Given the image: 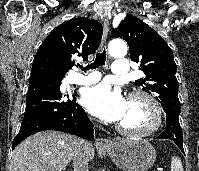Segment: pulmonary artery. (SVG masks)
Here are the masks:
<instances>
[{"mask_svg":"<svg viewBox=\"0 0 199 171\" xmlns=\"http://www.w3.org/2000/svg\"><path fill=\"white\" fill-rule=\"evenodd\" d=\"M129 61L127 59H121L114 61L112 65V73L114 75L125 76L129 73ZM100 79V73L92 72L88 75H75L71 79V83L79 85H90L96 83Z\"/></svg>","mask_w":199,"mask_h":171,"instance_id":"1","label":"pulmonary artery"}]
</instances>
